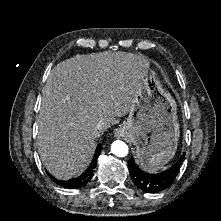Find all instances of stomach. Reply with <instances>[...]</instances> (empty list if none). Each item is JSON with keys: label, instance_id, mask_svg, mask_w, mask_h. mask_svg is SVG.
<instances>
[{"label": "stomach", "instance_id": "obj_1", "mask_svg": "<svg viewBox=\"0 0 221 221\" xmlns=\"http://www.w3.org/2000/svg\"><path fill=\"white\" fill-rule=\"evenodd\" d=\"M126 139L133 143L140 166L154 171L166 164L175 154L180 135L177 105L162 88L155 71L145 69L139 92L129 115L122 125Z\"/></svg>", "mask_w": 221, "mask_h": 221}]
</instances>
